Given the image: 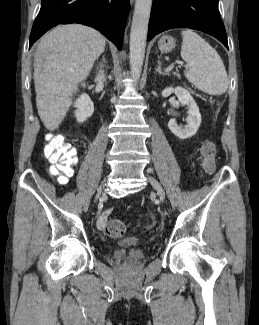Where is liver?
I'll use <instances>...</instances> for the list:
<instances>
[{
    "instance_id": "obj_1",
    "label": "liver",
    "mask_w": 259,
    "mask_h": 325,
    "mask_svg": "<svg viewBox=\"0 0 259 325\" xmlns=\"http://www.w3.org/2000/svg\"><path fill=\"white\" fill-rule=\"evenodd\" d=\"M104 48L105 38L80 24L58 26L42 37L34 57V84L38 114L48 130L64 120L72 94Z\"/></svg>"
}]
</instances>
